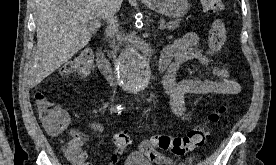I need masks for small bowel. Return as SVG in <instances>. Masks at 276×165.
Masks as SVG:
<instances>
[{"label": "small bowel", "mask_w": 276, "mask_h": 165, "mask_svg": "<svg viewBox=\"0 0 276 165\" xmlns=\"http://www.w3.org/2000/svg\"><path fill=\"white\" fill-rule=\"evenodd\" d=\"M201 44L200 36L195 32H189L166 46L161 53V58L168 61V67L162 79V86L169 97L172 112L182 120L188 119L185 102L187 95L225 96L236 95L241 91V86L230 69L205 52ZM189 60L199 61L206 69L211 71L216 79H184L177 81L176 75L179 69ZM89 127L98 134L103 132L101 123L91 122ZM70 137L71 140L66 150L68 158L74 165H88L84 162L86 151L82 150V146L89 140L88 136L79 130H71ZM148 143V140H146L141 144L143 154L142 148ZM70 148L75 149L76 155L68 152ZM121 156L122 151H114L110 156L108 165H117ZM144 156L146 157L145 154ZM146 158L158 164L168 163V160L158 152L153 160Z\"/></svg>", "instance_id": "c3829d8e"}]
</instances>
